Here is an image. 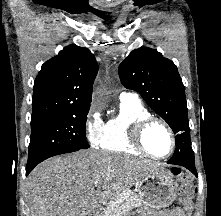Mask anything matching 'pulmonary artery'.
<instances>
[{
	"mask_svg": "<svg viewBox=\"0 0 221 216\" xmlns=\"http://www.w3.org/2000/svg\"><path fill=\"white\" fill-rule=\"evenodd\" d=\"M120 99L125 100V99H137V95L132 92H122L120 94Z\"/></svg>",
	"mask_w": 221,
	"mask_h": 216,
	"instance_id": "1",
	"label": "pulmonary artery"
}]
</instances>
